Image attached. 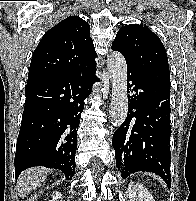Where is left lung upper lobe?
I'll use <instances>...</instances> for the list:
<instances>
[{
  "mask_svg": "<svg viewBox=\"0 0 196 201\" xmlns=\"http://www.w3.org/2000/svg\"><path fill=\"white\" fill-rule=\"evenodd\" d=\"M111 48L123 54L127 69L145 79L170 87L166 50L149 28L141 24L125 25L118 31Z\"/></svg>",
  "mask_w": 196,
  "mask_h": 201,
  "instance_id": "obj_1",
  "label": "left lung upper lobe"
}]
</instances>
